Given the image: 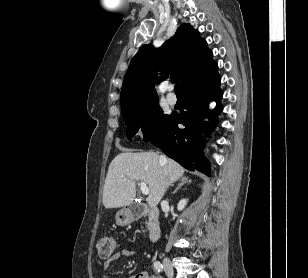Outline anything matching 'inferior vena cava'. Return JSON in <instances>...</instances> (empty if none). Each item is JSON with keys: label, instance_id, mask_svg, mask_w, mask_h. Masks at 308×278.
<instances>
[{"label": "inferior vena cava", "instance_id": "1", "mask_svg": "<svg viewBox=\"0 0 308 278\" xmlns=\"http://www.w3.org/2000/svg\"><path fill=\"white\" fill-rule=\"evenodd\" d=\"M160 162L166 163V162H167L166 157L163 156V155H161V156H160ZM164 175H165L166 177L168 176V173H167L166 168H164Z\"/></svg>", "mask_w": 308, "mask_h": 278}]
</instances>
